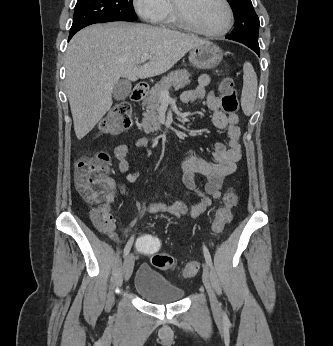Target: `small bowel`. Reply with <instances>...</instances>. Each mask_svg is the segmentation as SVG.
<instances>
[{"label":"small bowel","instance_id":"obj_1","mask_svg":"<svg viewBox=\"0 0 333 346\" xmlns=\"http://www.w3.org/2000/svg\"><path fill=\"white\" fill-rule=\"evenodd\" d=\"M210 77L203 74L198 79L195 88L185 91L181 96V101L191 104L203 99L207 93ZM208 108L212 112V121L216 128L225 130L228 136L227 145L216 143L213 146V159L211 163L206 159L193 155L191 151H186L183 168V182L186 188L194 192L199 201L191 208H187L182 202L174 204H149L147 210L151 213L164 212L177 216L195 218L203 211L217 202L221 197V189L225 179L235 171L236 162L241 158L239 117L236 113L227 114L220 108V99L209 92L206 96ZM148 145L146 138H138L132 145L121 144L114 150V157L117 161L118 170L126 174L129 170L128 156L133 148ZM203 176L206 181L203 187L198 185V177ZM134 178L131 176L130 180ZM117 191L126 192V189L111 183V191L106 200L91 209L90 220L96 229L114 242H119L116 233V225L113 218V204Z\"/></svg>","mask_w":333,"mask_h":346}]
</instances>
